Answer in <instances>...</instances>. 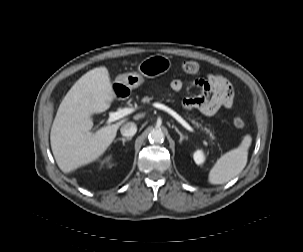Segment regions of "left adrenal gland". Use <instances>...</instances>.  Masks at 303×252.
Returning <instances> with one entry per match:
<instances>
[{
    "label": "left adrenal gland",
    "mask_w": 303,
    "mask_h": 252,
    "mask_svg": "<svg viewBox=\"0 0 303 252\" xmlns=\"http://www.w3.org/2000/svg\"><path fill=\"white\" fill-rule=\"evenodd\" d=\"M175 131L178 133L180 136L179 142L182 143V141L185 139V136L178 130L177 127H174Z\"/></svg>",
    "instance_id": "1"
}]
</instances>
